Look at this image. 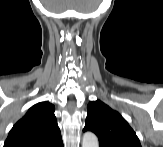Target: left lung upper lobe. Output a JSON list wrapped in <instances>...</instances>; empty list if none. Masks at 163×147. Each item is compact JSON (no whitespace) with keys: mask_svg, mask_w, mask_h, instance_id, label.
I'll list each match as a JSON object with an SVG mask.
<instances>
[{"mask_svg":"<svg viewBox=\"0 0 163 147\" xmlns=\"http://www.w3.org/2000/svg\"><path fill=\"white\" fill-rule=\"evenodd\" d=\"M87 110L83 131L95 133L99 147H141L136 133L117 111L100 100L90 102Z\"/></svg>","mask_w":163,"mask_h":147,"instance_id":"left-lung-upper-lobe-1","label":"left lung upper lobe"}]
</instances>
